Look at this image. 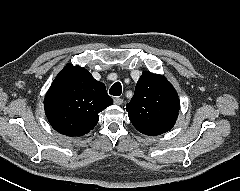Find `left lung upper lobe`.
<instances>
[{
  "label": "left lung upper lobe",
  "mask_w": 240,
  "mask_h": 191,
  "mask_svg": "<svg viewBox=\"0 0 240 191\" xmlns=\"http://www.w3.org/2000/svg\"><path fill=\"white\" fill-rule=\"evenodd\" d=\"M180 109L176 90L167 79L144 71L134 96L126 105L134 127L146 135H160L175 124Z\"/></svg>",
  "instance_id": "1"
}]
</instances>
